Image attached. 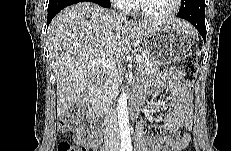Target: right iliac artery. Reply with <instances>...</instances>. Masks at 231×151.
<instances>
[{
    "label": "right iliac artery",
    "mask_w": 231,
    "mask_h": 151,
    "mask_svg": "<svg viewBox=\"0 0 231 151\" xmlns=\"http://www.w3.org/2000/svg\"><path fill=\"white\" fill-rule=\"evenodd\" d=\"M126 150V146H121L120 147V151H125Z\"/></svg>",
    "instance_id": "1"
}]
</instances>
